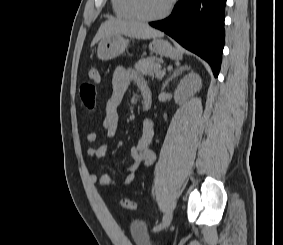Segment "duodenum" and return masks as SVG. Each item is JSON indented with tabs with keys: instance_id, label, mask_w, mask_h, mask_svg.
Wrapping results in <instances>:
<instances>
[{
	"instance_id": "duodenum-1",
	"label": "duodenum",
	"mask_w": 283,
	"mask_h": 245,
	"mask_svg": "<svg viewBox=\"0 0 283 245\" xmlns=\"http://www.w3.org/2000/svg\"><path fill=\"white\" fill-rule=\"evenodd\" d=\"M151 103H152V98H151V96L145 95V96L143 97V108H144L145 110H149L150 107H151Z\"/></svg>"
}]
</instances>
